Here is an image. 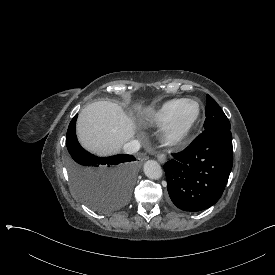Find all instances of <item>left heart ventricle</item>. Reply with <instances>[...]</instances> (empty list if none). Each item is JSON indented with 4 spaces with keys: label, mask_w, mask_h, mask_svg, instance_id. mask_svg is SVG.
Wrapping results in <instances>:
<instances>
[{
    "label": "left heart ventricle",
    "mask_w": 275,
    "mask_h": 275,
    "mask_svg": "<svg viewBox=\"0 0 275 275\" xmlns=\"http://www.w3.org/2000/svg\"><path fill=\"white\" fill-rule=\"evenodd\" d=\"M195 114V107L191 104L182 105L177 113L178 122L181 124L188 123Z\"/></svg>",
    "instance_id": "obj_1"
}]
</instances>
